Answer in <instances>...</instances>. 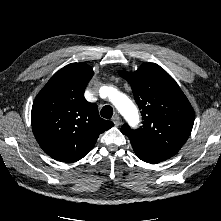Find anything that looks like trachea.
<instances>
[{
    "instance_id": "1",
    "label": "trachea",
    "mask_w": 221,
    "mask_h": 221,
    "mask_svg": "<svg viewBox=\"0 0 221 221\" xmlns=\"http://www.w3.org/2000/svg\"><path fill=\"white\" fill-rule=\"evenodd\" d=\"M100 114L103 118L110 119L113 115V108L106 105L101 109Z\"/></svg>"
}]
</instances>
